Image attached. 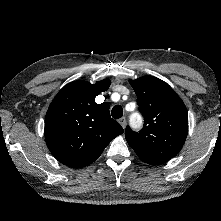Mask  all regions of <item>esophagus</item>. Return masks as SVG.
Masks as SVG:
<instances>
[{
	"label": "esophagus",
	"mask_w": 221,
	"mask_h": 221,
	"mask_svg": "<svg viewBox=\"0 0 221 221\" xmlns=\"http://www.w3.org/2000/svg\"><path fill=\"white\" fill-rule=\"evenodd\" d=\"M119 123H120V125H121L123 128H125V126H126V118H125V117L120 118V119H119Z\"/></svg>",
	"instance_id": "34e87169"
}]
</instances>
